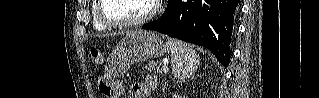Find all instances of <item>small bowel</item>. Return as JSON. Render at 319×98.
<instances>
[{
    "label": "small bowel",
    "instance_id": "c3829d8e",
    "mask_svg": "<svg viewBox=\"0 0 319 98\" xmlns=\"http://www.w3.org/2000/svg\"><path fill=\"white\" fill-rule=\"evenodd\" d=\"M157 79L155 76L147 77L145 84H136L134 86L135 98H147L149 91L156 86Z\"/></svg>",
    "mask_w": 319,
    "mask_h": 98
}]
</instances>
